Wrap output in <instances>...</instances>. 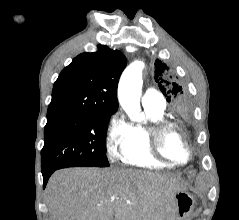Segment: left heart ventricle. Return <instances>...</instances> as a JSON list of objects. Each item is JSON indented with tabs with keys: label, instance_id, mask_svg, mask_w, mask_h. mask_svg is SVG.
<instances>
[{
	"label": "left heart ventricle",
	"instance_id": "b2bd125f",
	"mask_svg": "<svg viewBox=\"0 0 239 220\" xmlns=\"http://www.w3.org/2000/svg\"><path fill=\"white\" fill-rule=\"evenodd\" d=\"M163 148L165 153L175 161H184L187 157L184 143L175 131H170L166 134L163 141Z\"/></svg>",
	"mask_w": 239,
	"mask_h": 220
}]
</instances>
